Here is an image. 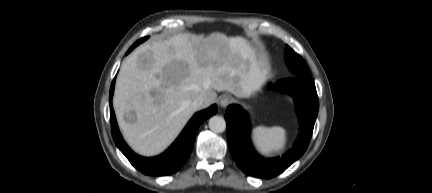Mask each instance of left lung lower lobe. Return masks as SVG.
<instances>
[{
	"label": "left lung lower lobe",
	"instance_id": "0a47b994",
	"mask_svg": "<svg viewBox=\"0 0 432 193\" xmlns=\"http://www.w3.org/2000/svg\"><path fill=\"white\" fill-rule=\"evenodd\" d=\"M273 88L294 97L301 122L298 141L283 157L265 159L255 152L249 139V118L239 106L230 105L225 115L228 145L235 162L243 172L259 178H271L280 174L305 152L319 110L318 96L311 76L283 79L273 85Z\"/></svg>",
	"mask_w": 432,
	"mask_h": 193
}]
</instances>
